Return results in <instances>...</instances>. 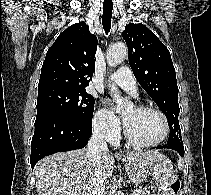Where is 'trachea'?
Here are the masks:
<instances>
[{
  "label": "trachea",
  "mask_w": 211,
  "mask_h": 195,
  "mask_svg": "<svg viewBox=\"0 0 211 195\" xmlns=\"http://www.w3.org/2000/svg\"><path fill=\"white\" fill-rule=\"evenodd\" d=\"M113 3L112 1L104 2L103 4V15H102V24L103 28L108 34L111 28V18H112Z\"/></svg>",
  "instance_id": "trachea-1"
}]
</instances>
